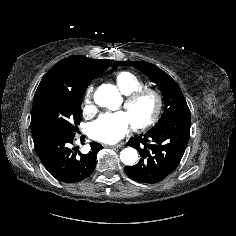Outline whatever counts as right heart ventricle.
<instances>
[{"label":"right heart ventricle","mask_w":236,"mask_h":236,"mask_svg":"<svg viewBox=\"0 0 236 236\" xmlns=\"http://www.w3.org/2000/svg\"><path fill=\"white\" fill-rule=\"evenodd\" d=\"M115 84L124 95L144 88V81L136 74L129 71H121L115 75Z\"/></svg>","instance_id":"right-heart-ventricle-1"}]
</instances>
